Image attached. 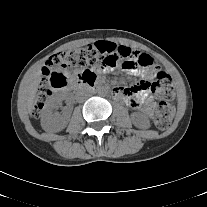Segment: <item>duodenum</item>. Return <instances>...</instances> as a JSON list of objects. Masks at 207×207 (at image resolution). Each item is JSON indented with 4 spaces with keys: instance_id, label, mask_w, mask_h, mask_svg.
I'll return each mask as SVG.
<instances>
[{
    "instance_id": "1",
    "label": "duodenum",
    "mask_w": 207,
    "mask_h": 207,
    "mask_svg": "<svg viewBox=\"0 0 207 207\" xmlns=\"http://www.w3.org/2000/svg\"><path fill=\"white\" fill-rule=\"evenodd\" d=\"M84 88H89L91 90L97 89V84L95 82V78H93V77H84L80 81L75 83V85L73 86L74 90H81V89H84Z\"/></svg>"
}]
</instances>
